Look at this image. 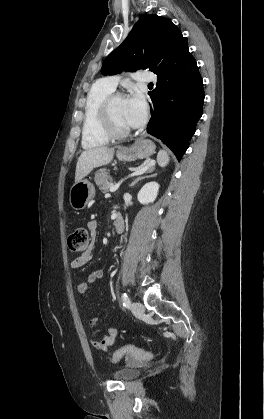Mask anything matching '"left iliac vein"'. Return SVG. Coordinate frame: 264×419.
<instances>
[{
	"instance_id": "obj_1",
	"label": "left iliac vein",
	"mask_w": 264,
	"mask_h": 419,
	"mask_svg": "<svg viewBox=\"0 0 264 419\" xmlns=\"http://www.w3.org/2000/svg\"><path fill=\"white\" fill-rule=\"evenodd\" d=\"M130 309L134 315H141L144 313V306L140 302H133Z\"/></svg>"
}]
</instances>
